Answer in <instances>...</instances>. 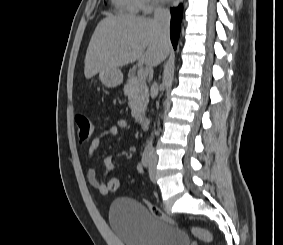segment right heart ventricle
I'll return each instance as SVG.
<instances>
[{
  "label": "right heart ventricle",
  "mask_w": 283,
  "mask_h": 245,
  "mask_svg": "<svg viewBox=\"0 0 283 245\" xmlns=\"http://www.w3.org/2000/svg\"><path fill=\"white\" fill-rule=\"evenodd\" d=\"M112 3L120 13L135 15L140 10L138 0H112Z\"/></svg>",
  "instance_id": "1"
}]
</instances>
